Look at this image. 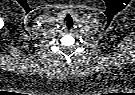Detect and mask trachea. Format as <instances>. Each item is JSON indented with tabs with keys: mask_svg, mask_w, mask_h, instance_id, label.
Listing matches in <instances>:
<instances>
[{
	"mask_svg": "<svg viewBox=\"0 0 135 95\" xmlns=\"http://www.w3.org/2000/svg\"><path fill=\"white\" fill-rule=\"evenodd\" d=\"M65 25H66V27H67L68 29H70V28L73 27L74 23H73V20H72L71 17H67V18L65 19Z\"/></svg>",
	"mask_w": 135,
	"mask_h": 95,
	"instance_id": "1",
	"label": "trachea"
}]
</instances>
